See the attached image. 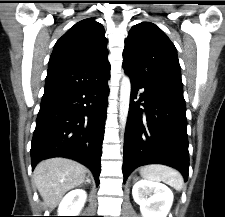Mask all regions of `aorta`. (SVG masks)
I'll return each mask as SVG.
<instances>
[{"label":"aorta","mask_w":225,"mask_h":217,"mask_svg":"<svg viewBox=\"0 0 225 217\" xmlns=\"http://www.w3.org/2000/svg\"><path fill=\"white\" fill-rule=\"evenodd\" d=\"M131 93V82L128 76H123L121 80L120 88V108H119V120L120 124L125 127L129 111Z\"/></svg>","instance_id":"aorta-1"}]
</instances>
